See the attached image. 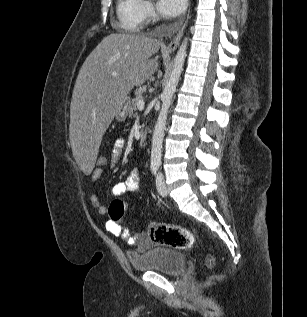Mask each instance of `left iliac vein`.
<instances>
[{
  "label": "left iliac vein",
  "instance_id": "1",
  "mask_svg": "<svg viewBox=\"0 0 307 317\" xmlns=\"http://www.w3.org/2000/svg\"><path fill=\"white\" fill-rule=\"evenodd\" d=\"M156 188L158 193L161 196H166L167 195V188L164 182V177L162 174H158L156 178Z\"/></svg>",
  "mask_w": 307,
  "mask_h": 317
}]
</instances>
